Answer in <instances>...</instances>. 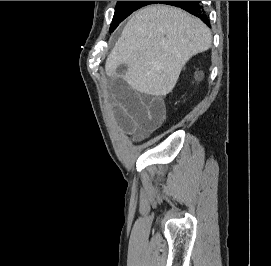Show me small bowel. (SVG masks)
Returning a JSON list of instances; mask_svg holds the SVG:
<instances>
[{
    "instance_id": "small-bowel-1",
    "label": "small bowel",
    "mask_w": 271,
    "mask_h": 266,
    "mask_svg": "<svg viewBox=\"0 0 271 266\" xmlns=\"http://www.w3.org/2000/svg\"><path fill=\"white\" fill-rule=\"evenodd\" d=\"M131 82L129 65L121 64L113 69V110L123 128L141 139L162 123L165 106L161 97L144 95Z\"/></svg>"
}]
</instances>
